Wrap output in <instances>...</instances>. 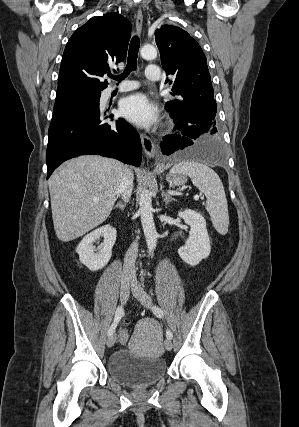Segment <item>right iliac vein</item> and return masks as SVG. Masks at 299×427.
Masks as SVG:
<instances>
[{
  "mask_svg": "<svg viewBox=\"0 0 299 427\" xmlns=\"http://www.w3.org/2000/svg\"><path fill=\"white\" fill-rule=\"evenodd\" d=\"M129 289H130V281L126 278L121 279L120 285V300L124 305L128 301L129 298ZM116 342V334H112L107 339V346L112 347Z\"/></svg>",
  "mask_w": 299,
  "mask_h": 427,
  "instance_id": "63e3f726",
  "label": "right iliac vein"
}]
</instances>
